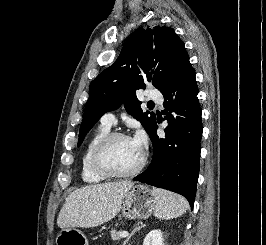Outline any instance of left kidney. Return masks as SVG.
I'll return each instance as SVG.
<instances>
[{
    "instance_id": "5707ae66",
    "label": "left kidney",
    "mask_w": 266,
    "mask_h": 245,
    "mask_svg": "<svg viewBox=\"0 0 266 245\" xmlns=\"http://www.w3.org/2000/svg\"><path fill=\"white\" fill-rule=\"evenodd\" d=\"M163 235L159 229H155V231H150L148 235H146L144 239L143 245H164L162 239Z\"/></svg>"
}]
</instances>
